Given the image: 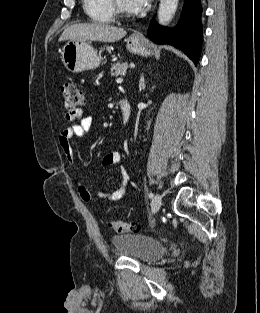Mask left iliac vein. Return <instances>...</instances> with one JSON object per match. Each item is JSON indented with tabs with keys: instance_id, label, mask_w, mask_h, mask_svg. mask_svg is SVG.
Listing matches in <instances>:
<instances>
[{
	"instance_id": "1",
	"label": "left iliac vein",
	"mask_w": 260,
	"mask_h": 313,
	"mask_svg": "<svg viewBox=\"0 0 260 313\" xmlns=\"http://www.w3.org/2000/svg\"><path fill=\"white\" fill-rule=\"evenodd\" d=\"M162 205V197L160 194H156L151 202V212L152 214H155L159 211L160 207Z\"/></svg>"
}]
</instances>
